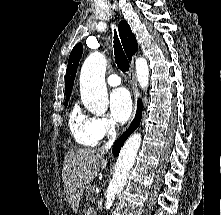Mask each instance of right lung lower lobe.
I'll return each mask as SVG.
<instances>
[{"label": "right lung lower lobe", "mask_w": 221, "mask_h": 215, "mask_svg": "<svg viewBox=\"0 0 221 215\" xmlns=\"http://www.w3.org/2000/svg\"><path fill=\"white\" fill-rule=\"evenodd\" d=\"M141 114H142V102L138 101L136 116H135L133 122L131 123L130 128L125 133H123V135L114 143V146L112 149V153L114 156L119 155V151L121 149V146L125 142V140L139 126L140 120H141Z\"/></svg>", "instance_id": "1"}]
</instances>
